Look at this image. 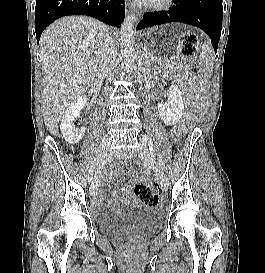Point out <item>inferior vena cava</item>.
I'll return each mask as SVG.
<instances>
[{"label": "inferior vena cava", "mask_w": 265, "mask_h": 273, "mask_svg": "<svg viewBox=\"0 0 265 273\" xmlns=\"http://www.w3.org/2000/svg\"><path fill=\"white\" fill-rule=\"evenodd\" d=\"M116 57L117 49L114 38L107 33L101 47L100 78H106L108 75L111 74Z\"/></svg>", "instance_id": "inferior-vena-cava-1"}]
</instances>
